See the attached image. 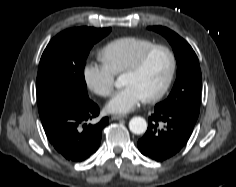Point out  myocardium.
<instances>
[{"label": "myocardium", "instance_id": "1", "mask_svg": "<svg viewBox=\"0 0 236 187\" xmlns=\"http://www.w3.org/2000/svg\"><path fill=\"white\" fill-rule=\"evenodd\" d=\"M157 50L164 51L168 55L170 61L169 72L163 86L156 93L143 99L146 103L156 102L163 98L173 83L177 69V59L172 49L166 45L154 44L139 53L130 66L124 71V74H135L139 72L146 59Z\"/></svg>", "mask_w": 236, "mask_h": 187}]
</instances>
